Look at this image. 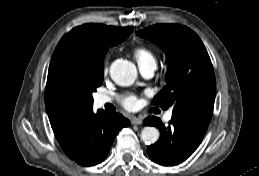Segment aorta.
<instances>
[{
    "mask_svg": "<svg viewBox=\"0 0 259 176\" xmlns=\"http://www.w3.org/2000/svg\"><path fill=\"white\" fill-rule=\"evenodd\" d=\"M110 76L116 84L129 86L137 78V69L132 62L125 59H118L110 66ZM159 136V130L155 127L147 126L141 131V139L148 145L157 142Z\"/></svg>",
    "mask_w": 259,
    "mask_h": 176,
    "instance_id": "762f6f07",
    "label": "aorta"
}]
</instances>
